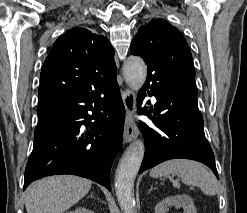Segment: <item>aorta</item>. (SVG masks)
<instances>
[{
	"label": "aorta",
	"mask_w": 247,
	"mask_h": 213,
	"mask_svg": "<svg viewBox=\"0 0 247 213\" xmlns=\"http://www.w3.org/2000/svg\"><path fill=\"white\" fill-rule=\"evenodd\" d=\"M126 83L138 91L145 83L147 66L137 56H130L123 67ZM145 147L142 140H136L124 152L115 175V191L118 203L125 213H135L134 181L144 157Z\"/></svg>",
	"instance_id": "762f6f07"
}]
</instances>
